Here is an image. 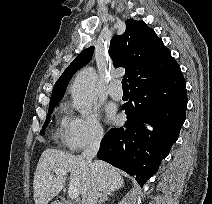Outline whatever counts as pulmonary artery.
<instances>
[{"instance_id":"e3ab8cb5","label":"pulmonary artery","mask_w":212,"mask_h":204,"mask_svg":"<svg viewBox=\"0 0 212 204\" xmlns=\"http://www.w3.org/2000/svg\"><path fill=\"white\" fill-rule=\"evenodd\" d=\"M108 93L110 95V97L114 100H121L123 97V92L121 89V84L119 81H114L109 89H108Z\"/></svg>"}]
</instances>
